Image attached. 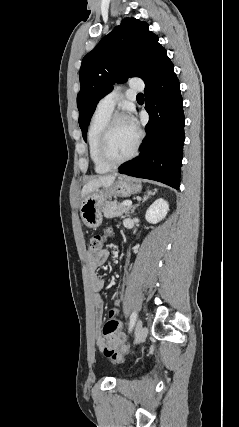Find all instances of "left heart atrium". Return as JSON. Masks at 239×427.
<instances>
[{"mask_svg": "<svg viewBox=\"0 0 239 427\" xmlns=\"http://www.w3.org/2000/svg\"><path fill=\"white\" fill-rule=\"evenodd\" d=\"M127 123L128 125L131 127V129L135 132H137V126H136V122L132 117L127 118Z\"/></svg>", "mask_w": 239, "mask_h": 427, "instance_id": "1", "label": "left heart atrium"}]
</instances>
